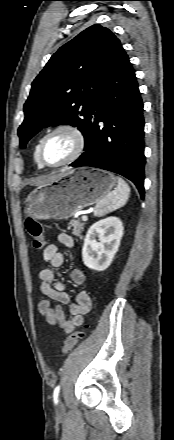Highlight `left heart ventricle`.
Listing matches in <instances>:
<instances>
[{
  "label": "left heart ventricle",
  "mask_w": 174,
  "mask_h": 440,
  "mask_svg": "<svg viewBox=\"0 0 174 440\" xmlns=\"http://www.w3.org/2000/svg\"><path fill=\"white\" fill-rule=\"evenodd\" d=\"M74 145V139L70 134L65 132L53 134L44 142L42 158L47 164H59L71 155Z\"/></svg>",
  "instance_id": "b2bd125f"
}]
</instances>
